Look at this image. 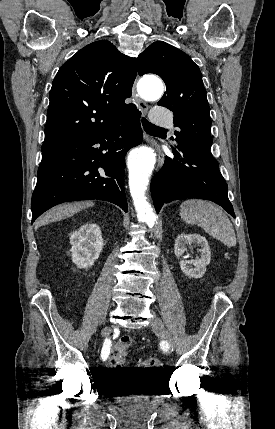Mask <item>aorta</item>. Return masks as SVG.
<instances>
[{"instance_id":"1","label":"aorta","mask_w":275,"mask_h":429,"mask_svg":"<svg viewBox=\"0 0 275 429\" xmlns=\"http://www.w3.org/2000/svg\"><path fill=\"white\" fill-rule=\"evenodd\" d=\"M139 91L145 100L154 101L161 98L164 87L160 79L146 77L141 80ZM155 162L156 154L148 147H140L134 150L128 162L129 188L137 212V219L149 228L154 227L157 219L145 195Z\"/></svg>"}]
</instances>
